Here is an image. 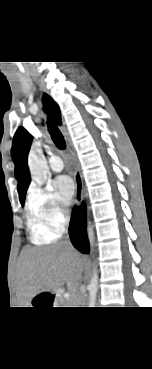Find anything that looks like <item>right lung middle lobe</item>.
Returning <instances> with one entry per match:
<instances>
[{"label": "right lung middle lobe", "instance_id": "right-lung-middle-lobe-1", "mask_svg": "<svg viewBox=\"0 0 152 369\" xmlns=\"http://www.w3.org/2000/svg\"><path fill=\"white\" fill-rule=\"evenodd\" d=\"M21 204L24 205V202L22 201Z\"/></svg>", "mask_w": 152, "mask_h": 369}]
</instances>
